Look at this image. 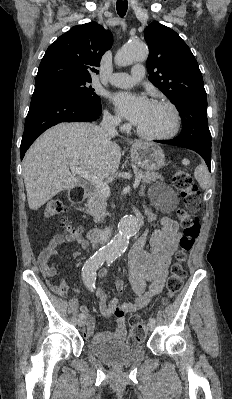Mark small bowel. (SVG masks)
<instances>
[{
    "label": "small bowel",
    "mask_w": 232,
    "mask_h": 399,
    "mask_svg": "<svg viewBox=\"0 0 232 399\" xmlns=\"http://www.w3.org/2000/svg\"><path fill=\"white\" fill-rule=\"evenodd\" d=\"M145 211L151 215L152 209L144 206ZM181 233L177 224L169 219L163 220L160 229L148 236L143 233L137 236L128 254L129 260V279L131 288L135 295L132 303L125 302L119 304L116 299H112L107 303L106 294L102 289H97V297L101 305V314L104 317L117 315L119 318V328L115 332L95 333L94 325L98 317L89 310L87 306H81V311L85 315V321L78 326L79 331L84 337L88 338L93 345H102L104 339L108 340L112 345H118L121 339L126 335L128 328L125 323V314L128 311H134L146 307H150L154 303V298L162 292L167 278V271L171 261V257L178 245ZM146 243H150L152 249L145 253L143 247ZM57 242H51L49 247V255L57 256L59 254ZM81 248L86 250L89 243L81 242ZM74 259H79L81 254L79 251L72 253ZM99 275L110 276L117 283V292L120 295L125 293V285L119 277L110 268H102ZM147 278L151 282V287L147 296L142 297L144 290L142 279Z\"/></svg>",
    "instance_id": "small-bowel-1"
}]
</instances>
